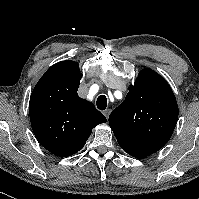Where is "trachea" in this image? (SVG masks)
<instances>
[{
    "instance_id": "trachea-1",
    "label": "trachea",
    "mask_w": 199,
    "mask_h": 199,
    "mask_svg": "<svg viewBox=\"0 0 199 199\" xmlns=\"http://www.w3.org/2000/svg\"><path fill=\"white\" fill-rule=\"evenodd\" d=\"M97 108L99 110H105L107 107V98L105 95H100L96 101Z\"/></svg>"
}]
</instances>
